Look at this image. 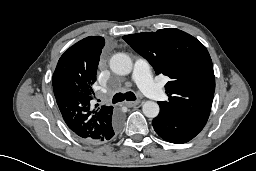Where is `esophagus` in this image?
I'll return each instance as SVG.
<instances>
[{"mask_svg": "<svg viewBox=\"0 0 256 171\" xmlns=\"http://www.w3.org/2000/svg\"><path fill=\"white\" fill-rule=\"evenodd\" d=\"M139 103H140L139 100H136V101H126V102H125V105H126L127 107H135V106H137Z\"/></svg>", "mask_w": 256, "mask_h": 171, "instance_id": "34e87169", "label": "esophagus"}]
</instances>
